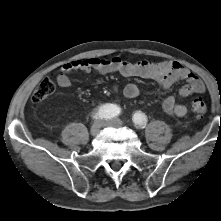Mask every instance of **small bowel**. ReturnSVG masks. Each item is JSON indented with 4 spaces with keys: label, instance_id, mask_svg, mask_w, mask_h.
Wrapping results in <instances>:
<instances>
[{
    "label": "small bowel",
    "instance_id": "1",
    "mask_svg": "<svg viewBox=\"0 0 221 221\" xmlns=\"http://www.w3.org/2000/svg\"><path fill=\"white\" fill-rule=\"evenodd\" d=\"M75 72H96L100 75L120 73L126 77H140L157 82L166 89L178 81L186 84L178 90V98H186L194 93L203 94L205 85L194 73L184 68L181 64L171 61L153 62L149 60L128 61L121 57L111 59L89 58L77 60L62 65L56 76V82L61 88L72 85L70 74ZM140 93V88L133 83L127 84L122 89V94L127 99H133ZM164 112L171 116L183 117L188 113V105L178 102L176 97L170 95L163 100Z\"/></svg>",
    "mask_w": 221,
    "mask_h": 221
}]
</instances>
